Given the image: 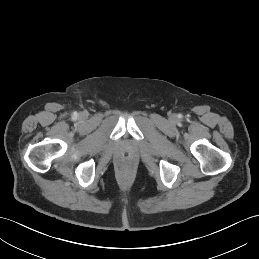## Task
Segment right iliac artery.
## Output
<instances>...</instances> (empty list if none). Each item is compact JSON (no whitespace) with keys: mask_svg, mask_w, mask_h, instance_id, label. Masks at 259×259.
<instances>
[{"mask_svg":"<svg viewBox=\"0 0 259 259\" xmlns=\"http://www.w3.org/2000/svg\"><path fill=\"white\" fill-rule=\"evenodd\" d=\"M77 117V114H74V118H76Z\"/></svg>","mask_w":259,"mask_h":259,"instance_id":"1","label":"right iliac artery"}]
</instances>
